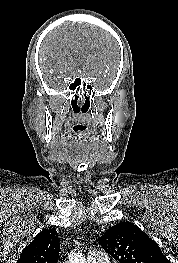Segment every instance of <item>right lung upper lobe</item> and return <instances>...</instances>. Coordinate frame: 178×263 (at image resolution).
Here are the masks:
<instances>
[{
    "mask_svg": "<svg viewBox=\"0 0 178 263\" xmlns=\"http://www.w3.org/2000/svg\"><path fill=\"white\" fill-rule=\"evenodd\" d=\"M59 252L56 229H44L22 250L17 263H57Z\"/></svg>",
    "mask_w": 178,
    "mask_h": 263,
    "instance_id": "1",
    "label": "right lung upper lobe"
}]
</instances>
